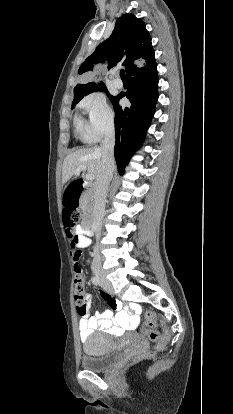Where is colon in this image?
<instances>
[{
  "instance_id": "obj_1",
  "label": "colon",
  "mask_w": 233,
  "mask_h": 414,
  "mask_svg": "<svg viewBox=\"0 0 233 414\" xmlns=\"http://www.w3.org/2000/svg\"><path fill=\"white\" fill-rule=\"evenodd\" d=\"M80 220V213L75 210L71 212H64V223L66 226V234L70 239V254L71 256H76L77 253L79 259L82 255L81 249L77 246L76 243V233L74 231L75 225ZM85 294V279L83 272L80 276L75 275L74 279V302L75 306L83 305L86 302ZM79 315L82 312H77ZM141 333L146 335L151 341L156 343V350H162L167 342V334L161 335L160 332L156 329V316L153 312L148 311L145 313V321L140 329ZM136 358H132L131 362H134Z\"/></svg>"
}]
</instances>
